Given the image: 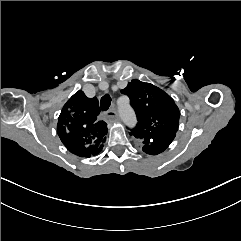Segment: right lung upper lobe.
<instances>
[{"label": "right lung upper lobe", "instance_id": "cb5924a9", "mask_svg": "<svg viewBox=\"0 0 241 241\" xmlns=\"http://www.w3.org/2000/svg\"><path fill=\"white\" fill-rule=\"evenodd\" d=\"M100 108L96 97L87 98L76 92L64 105L57 132L66 148L79 157L95 156L103 149L107 124L99 120Z\"/></svg>", "mask_w": 241, "mask_h": 241}]
</instances>
